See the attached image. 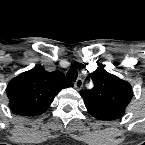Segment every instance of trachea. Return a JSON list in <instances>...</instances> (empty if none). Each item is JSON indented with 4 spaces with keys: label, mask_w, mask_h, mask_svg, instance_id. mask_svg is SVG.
<instances>
[{
    "label": "trachea",
    "mask_w": 145,
    "mask_h": 145,
    "mask_svg": "<svg viewBox=\"0 0 145 145\" xmlns=\"http://www.w3.org/2000/svg\"><path fill=\"white\" fill-rule=\"evenodd\" d=\"M78 77V71L76 68H70L67 72V79L70 81H75Z\"/></svg>",
    "instance_id": "trachea-1"
}]
</instances>
